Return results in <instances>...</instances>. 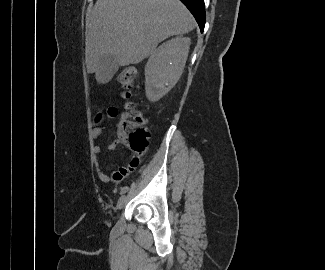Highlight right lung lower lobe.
<instances>
[{
	"mask_svg": "<svg viewBox=\"0 0 325 270\" xmlns=\"http://www.w3.org/2000/svg\"><path fill=\"white\" fill-rule=\"evenodd\" d=\"M193 14L201 32L204 30L205 26V6L204 0H180Z\"/></svg>",
	"mask_w": 325,
	"mask_h": 270,
	"instance_id": "obj_1",
	"label": "right lung lower lobe"
}]
</instances>
